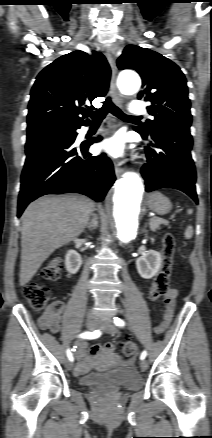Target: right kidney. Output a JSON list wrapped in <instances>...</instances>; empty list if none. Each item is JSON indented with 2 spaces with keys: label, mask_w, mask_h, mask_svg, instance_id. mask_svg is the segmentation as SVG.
<instances>
[{
  "label": "right kidney",
  "mask_w": 212,
  "mask_h": 438,
  "mask_svg": "<svg viewBox=\"0 0 212 438\" xmlns=\"http://www.w3.org/2000/svg\"><path fill=\"white\" fill-rule=\"evenodd\" d=\"M82 264L81 255L75 250H69L65 256V267L71 274L78 272Z\"/></svg>",
  "instance_id": "ca27d5eb"
}]
</instances>
